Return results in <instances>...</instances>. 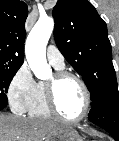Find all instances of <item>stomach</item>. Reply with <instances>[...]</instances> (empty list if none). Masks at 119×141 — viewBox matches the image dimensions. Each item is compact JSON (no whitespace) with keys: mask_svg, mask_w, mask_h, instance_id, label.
Returning a JSON list of instances; mask_svg holds the SVG:
<instances>
[{"mask_svg":"<svg viewBox=\"0 0 119 141\" xmlns=\"http://www.w3.org/2000/svg\"><path fill=\"white\" fill-rule=\"evenodd\" d=\"M46 141H82V139L74 128L64 126L61 129L47 135Z\"/></svg>","mask_w":119,"mask_h":141,"instance_id":"0dacf381","label":"stomach"}]
</instances>
